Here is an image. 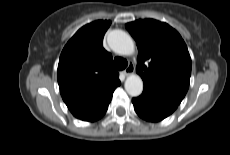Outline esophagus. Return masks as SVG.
<instances>
[{
    "label": "esophagus",
    "instance_id": "esophagus-1",
    "mask_svg": "<svg viewBox=\"0 0 230 155\" xmlns=\"http://www.w3.org/2000/svg\"><path fill=\"white\" fill-rule=\"evenodd\" d=\"M133 72H134V65L133 63H129L127 68L124 70V74L128 76V75H131Z\"/></svg>",
    "mask_w": 230,
    "mask_h": 155
}]
</instances>
